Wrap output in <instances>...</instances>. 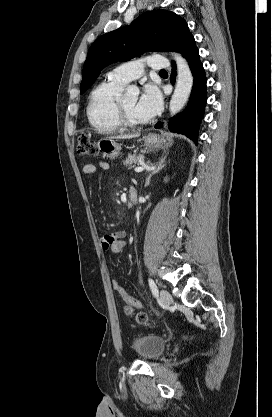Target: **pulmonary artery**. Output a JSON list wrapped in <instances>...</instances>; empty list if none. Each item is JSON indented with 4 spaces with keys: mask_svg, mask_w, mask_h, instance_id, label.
Wrapping results in <instances>:
<instances>
[{
    "mask_svg": "<svg viewBox=\"0 0 272 417\" xmlns=\"http://www.w3.org/2000/svg\"><path fill=\"white\" fill-rule=\"evenodd\" d=\"M146 64L153 70H165L169 67V61L165 57L161 55H152L146 59L122 64L109 72L108 77L126 85L142 76Z\"/></svg>",
    "mask_w": 272,
    "mask_h": 417,
    "instance_id": "obj_1",
    "label": "pulmonary artery"
}]
</instances>
